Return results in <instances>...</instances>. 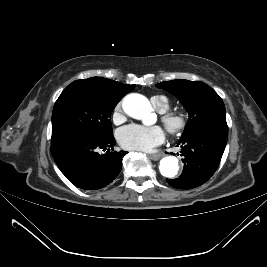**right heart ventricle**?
Here are the masks:
<instances>
[{"mask_svg": "<svg viewBox=\"0 0 267 267\" xmlns=\"http://www.w3.org/2000/svg\"><path fill=\"white\" fill-rule=\"evenodd\" d=\"M151 102L155 108H157L160 112H165L169 108V101L167 97L163 95H156L151 98Z\"/></svg>", "mask_w": 267, "mask_h": 267, "instance_id": "e07e8e85", "label": "right heart ventricle"}]
</instances>
